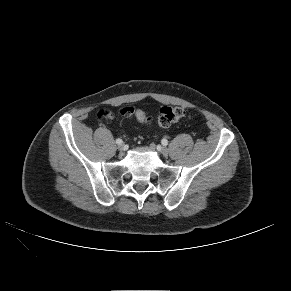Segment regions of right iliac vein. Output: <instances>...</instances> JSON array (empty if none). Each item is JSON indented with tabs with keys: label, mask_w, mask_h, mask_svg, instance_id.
I'll use <instances>...</instances> for the list:
<instances>
[{
	"label": "right iliac vein",
	"mask_w": 291,
	"mask_h": 291,
	"mask_svg": "<svg viewBox=\"0 0 291 291\" xmlns=\"http://www.w3.org/2000/svg\"><path fill=\"white\" fill-rule=\"evenodd\" d=\"M117 148H118V150L123 151L124 150V145L123 144H119Z\"/></svg>",
	"instance_id": "1"
}]
</instances>
